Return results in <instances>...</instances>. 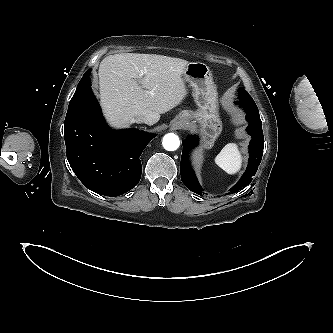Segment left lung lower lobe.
<instances>
[{
  "mask_svg": "<svg viewBox=\"0 0 333 333\" xmlns=\"http://www.w3.org/2000/svg\"><path fill=\"white\" fill-rule=\"evenodd\" d=\"M239 101L240 106H242L247 113L246 119L249 122L247 131L252 136V140L249 144L250 158L247 170L242 175L238 183L230 189L231 192H236V190L249 185V183L252 181V176L255 175L261 162L264 148L262 122L260 120L259 111L255 102L251 97H239ZM182 144L183 152L181 156L180 166L181 180L192 192L197 193L198 195H202L203 189L198 183L195 173L192 170L188 160V152L190 148L194 147L197 144L196 137L190 136L189 138H187V140L182 141Z\"/></svg>",
  "mask_w": 333,
  "mask_h": 333,
  "instance_id": "1",
  "label": "left lung lower lobe"
}]
</instances>
